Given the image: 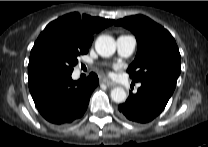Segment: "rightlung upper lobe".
<instances>
[{
  "label": "right lung upper lobe",
  "mask_w": 208,
  "mask_h": 147,
  "mask_svg": "<svg viewBox=\"0 0 208 147\" xmlns=\"http://www.w3.org/2000/svg\"><path fill=\"white\" fill-rule=\"evenodd\" d=\"M114 22V20L91 17L85 14L80 15L76 12L69 13L52 21L41 32L31 50L28 79L40 74L37 67L38 57L48 45L54 43H71L79 48L88 50L92 44L93 35L105 27L112 25Z\"/></svg>",
  "instance_id": "right-lung-upper-lobe-1"
}]
</instances>
